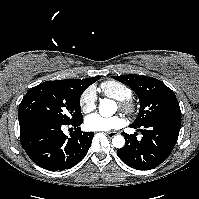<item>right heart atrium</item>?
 <instances>
[{
  "instance_id": "d8ad5b80",
  "label": "right heart atrium",
  "mask_w": 199,
  "mask_h": 199,
  "mask_svg": "<svg viewBox=\"0 0 199 199\" xmlns=\"http://www.w3.org/2000/svg\"><path fill=\"white\" fill-rule=\"evenodd\" d=\"M96 93L93 88H87L81 95L80 106L84 113L91 112L96 107Z\"/></svg>"
}]
</instances>
